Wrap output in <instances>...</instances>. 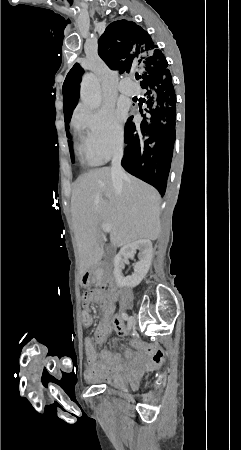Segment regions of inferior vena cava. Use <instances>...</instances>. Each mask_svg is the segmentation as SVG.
<instances>
[{
	"mask_svg": "<svg viewBox=\"0 0 241 450\" xmlns=\"http://www.w3.org/2000/svg\"><path fill=\"white\" fill-rule=\"evenodd\" d=\"M123 158V150L117 152L115 156H113V160L111 162V178L113 182L114 188L116 190H121L123 186V178L125 176L124 170L121 166V160Z\"/></svg>",
	"mask_w": 241,
	"mask_h": 450,
	"instance_id": "1",
	"label": "inferior vena cava"
}]
</instances>
